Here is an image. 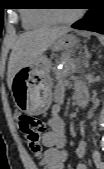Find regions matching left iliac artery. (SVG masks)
<instances>
[{"instance_id":"44dca946","label":"left iliac artery","mask_w":104,"mask_h":169,"mask_svg":"<svg viewBox=\"0 0 104 169\" xmlns=\"http://www.w3.org/2000/svg\"><path fill=\"white\" fill-rule=\"evenodd\" d=\"M93 160L97 166H99V164H101V156L97 150L93 151Z\"/></svg>"}]
</instances>
